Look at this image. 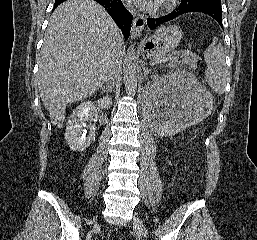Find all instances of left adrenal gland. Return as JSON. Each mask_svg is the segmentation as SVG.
I'll list each match as a JSON object with an SVG mask.
<instances>
[{
    "label": "left adrenal gland",
    "mask_w": 257,
    "mask_h": 240,
    "mask_svg": "<svg viewBox=\"0 0 257 240\" xmlns=\"http://www.w3.org/2000/svg\"><path fill=\"white\" fill-rule=\"evenodd\" d=\"M143 71H144V76H145V78H146L147 75H148V73L150 72V70L147 69V68H143Z\"/></svg>",
    "instance_id": "obj_1"
}]
</instances>
